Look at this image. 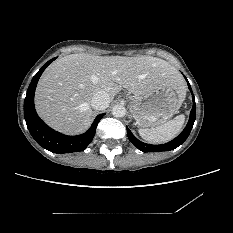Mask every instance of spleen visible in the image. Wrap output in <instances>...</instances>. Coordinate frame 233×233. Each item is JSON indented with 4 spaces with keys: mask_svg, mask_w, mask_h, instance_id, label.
<instances>
[{
    "mask_svg": "<svg viewBox=\"0 0 233 233\" xmlns=\"http://www.w3.org/2000/svg\"><path fill=\"white\" fill-rule=\"evenodd\" d=\"M185 116L178 115L173 120L164 123L156 128H140L139 135L149 143H165L176 137L184 124Z\"/></svg>",
    "mask_w": 233,
    "mask_h": 233,
    "instance_id": "3e777b00",
    "label": "spleen"
}]
</instances>
